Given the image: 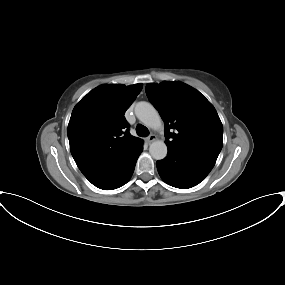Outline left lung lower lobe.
Listing matches in <instances>:
<instances>
[{"mask_svg":"<svg viewBox=\"0 0 285 285\" xmlns=\"http://www.w3.org/2000/svg\"><path fill=\"white\" fill-rule=\"evenodd\" d=\"M214 164L191 156L168 151L167 157L157 161L161 178L169 185L187 189L199 184L212 170Z\"/></svg>","mask_w":285,"mask_h":285,"instance_id":"obj_1","label":"left lung lower lobe"}]
</instances>
